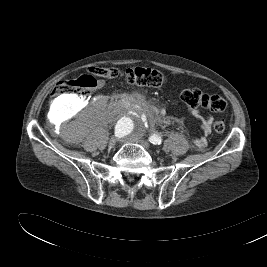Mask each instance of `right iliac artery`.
<instances>
[{"label":"right iliac artery","mask_w":267,"mask_h":267,"mask_svg":"<svg viewBox=\"0 0 267 267\" xmlns=\"http://www.w3.org/2000/svg\"><path fill=\"white\" fill-rule=\"evenodd\" d=\"M128 120L119 121L115 128V136L123 137L128 131Z\"/></svg>","instance_id":"right-iliac-artery-1"}]
</instances>
